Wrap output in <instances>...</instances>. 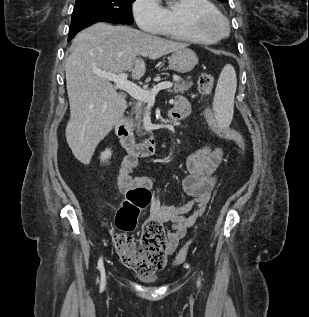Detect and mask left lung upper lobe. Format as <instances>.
I'll list each match as a JSON object with an SVG mask.
<instances>
[{
    "instance_id": "1",
    "label": "left lung upper lobe",
    "mask_w": 309,
    "mask_h": 317,
    "mask_svg": "<svg viewBox=\"0 0 309 317\" xmlns=\"http://www.w3.org/2000/svg\"><path fill=\"white\" fill-rule=\"evenodd\" d=\"M218 1H221V2H227L228 0H218Z\"/></svg>"
}]
</instances>
